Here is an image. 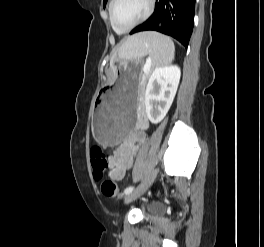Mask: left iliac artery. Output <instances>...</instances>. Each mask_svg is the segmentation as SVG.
Listing matches in <instances>:
<instances>
[{
  "instance_id": "1",
  "label": "left iliac artery",
  "mask_w": 264,
  "mask_h": 247,
  "mask_svg": "<svg viewBox=\"0 0 264 247\" xmlns=\"http://www.w3.org/2000/svg\"><path fill=\"white\" fill-rule=\"evenodd\" d=\"M133 190H134V187H133V186H130V187H127V188L124 190V193L127 195V194L131 193Z\"/></svg>"
}]
</instances>
